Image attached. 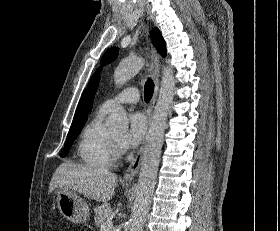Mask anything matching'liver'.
Listing matches in <instances>:
<instances>
[{
  "label": "liver",
  "instance_id": "liver-1",
  "mask_svg": "<svg viewBox=\"0 0 280 231\" xmlns=\"http://www.w3.org/2000/svg\"><path fill=\"white\" fill-rule=\"evenodd\" d=\"M118 177L111 171H96L79 163H61L49 185V193L56 187L72 189L96 201H109L115 193Z\"/></svg>",
  "mask_w": 280,
  "mask_h": 231
}]
</instances>
